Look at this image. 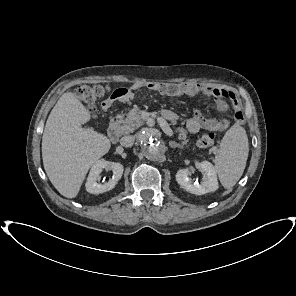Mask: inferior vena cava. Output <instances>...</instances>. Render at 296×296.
<instances>
[{"label": "inferior vena cava", "mask_w": 296, "mask_h": 296, "mask_svg": "<svg viewBox=\"0 0 296 296\" xmlns=\"http://www.w3.org/2000/svg\"><path fill=\"white\" fill-rule=\"evenodd\" d=\"M134 141L135 139L133 136H130V135L123 136L120 139V145L123 147H131L134 144Z\"/></svg>", "instance_id": "1"}]
</instances>
